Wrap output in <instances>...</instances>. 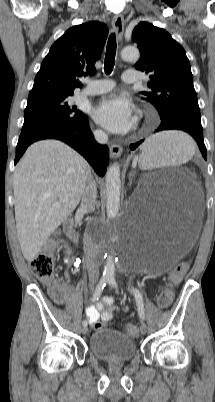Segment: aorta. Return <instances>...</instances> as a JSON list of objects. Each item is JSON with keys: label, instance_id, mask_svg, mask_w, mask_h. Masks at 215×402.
<instances>
[{"label": "aorta", "instance_id": "aorta-1", "mask_svg": "<svg viewBox=\"0 0 215 402\" xmlns=\"http://www.w3.org/2000/svg\"><path fill=\"white\" fill-rule=\"evenodd\" d=\"M140 57L136 47H124L121 51V58L124 61L136 62ZM106 209L109 218H115L120 208L121 180L120 166L118 163L111 165L105 176ZM101 259L105 261L104 277L114 278L115 275V254L110 250L107 242L100 251Z\"/></svg>", "mask_w": 215, "mask_h": 402}]
</instances>
